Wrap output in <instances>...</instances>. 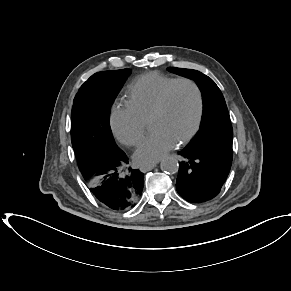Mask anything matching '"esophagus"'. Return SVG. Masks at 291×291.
I'll return each mask as SVG.
<instances>
[{
  "instance_id": "obj_1",
  "label": "esophagus",
  "mask_w": 291,
  "mask_h": 291,
  "mask_svg": "<svg viewBox=\"0 0 291 291\" xmlns=\"http://www.w3.org/2000/svg\"><path fill=\"white\" fill-rule=\"evenodd\" d=\"M159 163L158 162H155V163H151V164H147V165H143L140 170L141 171H148V170H152L157 164Z\"/></svg>"
}]
</instances>
